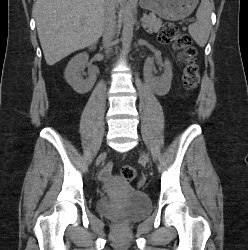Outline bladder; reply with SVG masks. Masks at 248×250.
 Here are the masks:
<instances>
[{"label": "bladder", "mask_w": 248, "mask_h": 250, "mask_svg": "<svg viewBox=\"0 0 248 250\" xmlns=\"http://www.w3.org/2000/svg\"><path fill=\"white\" fill-rule=\"evenodd\" d=\"M97 210L103 216L131 222L149 215L151 201L145 194L131 191L122 199H99Z\"/></svg>", "instance_id": "31cf9c89"}]
</instances>
